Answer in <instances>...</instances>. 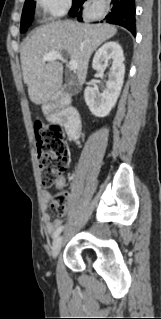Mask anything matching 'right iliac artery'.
Instances as JSON below:
<instances>
[{"label": "right iliac artery", "mask_w": 161, "mask_h": 319, "mask_svg": "<svg viewBox=\"0 0 161 319\" xmlns=\"http://www.w3.org/2000/svg\"><path fill=\"white\" fill-rule=\"evenodd\" d=\"M64 226H60L54 233H53V239H56L59 234L62 232Z\"/></svg>", "instance_id": "right-iliac-artery-1"}]
</instances>
